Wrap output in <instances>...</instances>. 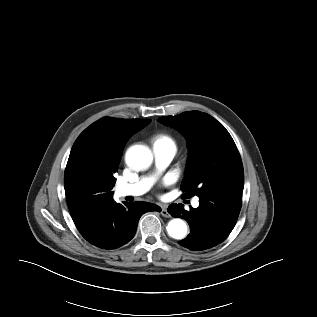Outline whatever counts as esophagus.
I'll list each match as a JSON object with an SVG mask.
<instances>
[{"mask_svg":"<svg viewBox=\"0 0 317 317\" xmlns=\"http://www.w3.org/2000/svg\"><path fill=\"white\" fill-rule=\"evenodd\" d=\"M161 215L163 217H170V214L167 211V206L166 205H162L161 206Z\"/></svg>","mask_w":317,"mask_h":317,"instance_id":"1","label":"esophagus"}]
</instances>
